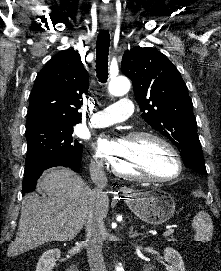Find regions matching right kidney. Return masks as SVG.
I'll return each mask as SVG.
<instances>
[{
    "label": "right kidney",
    "mask_w": 221,
    "mask_h": 271,
    "mask_svg": "<svg viewBox=\"0 0 221 271\" xmlns=\"http://www.w3.org/2000/svg\"><path fill=\"white\" fill-rule=\"evenodd\" d=\"M58 257H61V251L58 247L47 249L40 255L35 271H53Z\"/></svg>",
    "instance_id": "obj_1"
}]
</instances>
